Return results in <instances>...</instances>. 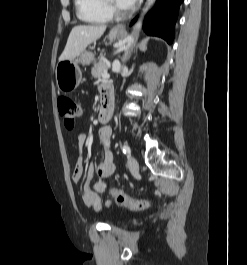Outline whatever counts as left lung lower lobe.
<instances>
[{
  "label": "left lung lower lobe",
  "instance_id": "obj_1",
  "mask_svg": "<svg viewBox=\"0 0 247 265\" xmlns=\"http://www.w3.org/2000/svg\"><path fill=\"white\" fill-rule=\"evenodd\" d=\"M182 2L183 0H159L154 11L148 15L145 21L146 33L159 36L171 44L174 38L179 6Z\"/></svg>",
  "mask_w": 247,
  "mask_h": 265
}]
</instances>
